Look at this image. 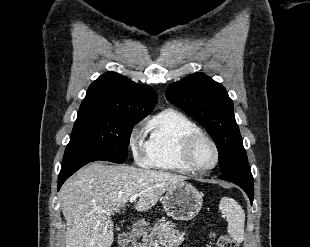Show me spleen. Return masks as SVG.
I'll return each mask as SVG.
<instances>
[{"label": "spleen", "instance_id": "spleen-1", "mask_svg": "<svg viewBox=\"0 0 310 247\" xmlns=\"http://www.w3.org/2000/svg\"><path fill=\"white\" fill-rule=\"evenodd\" d=\"M220 211L225 214L229 235L237 243H241L244 239V223L245 213L243 208L232 198L223 197L219 204Z\"/></svg>", "mask_w": 310, "mask_h": 247}]
</instances>
